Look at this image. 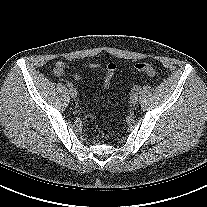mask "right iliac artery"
Masks as SVG:
<instances>
[{
  "label": "right iliac artery",
  "mask_w": 207,
  "mask_h": 207,
  "mask_svg": "<svg viewBox=\"0 0 207 207\" xmlns=\"http://www.w3.org/2000/svg\"><path fill=\"white\" fill-rule=\"evenodd\" d=\"M67 87H69V88H72L73 87V85H72V83H67Z\"/></svg>",
  "instance_id": "right-iliac-artery-1"
}]
</instances>
